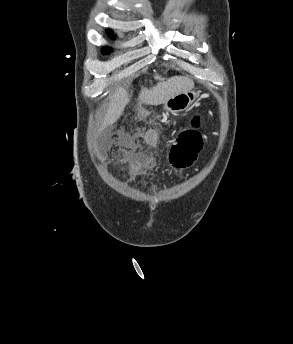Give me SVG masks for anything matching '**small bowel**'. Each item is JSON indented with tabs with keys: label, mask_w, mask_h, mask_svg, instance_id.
Masks as SVG:
<instances>
[{
	"label": "small bowel",
	"mask_w": 293,
	"mask_h": 344,
	"mask_svg": "<svg viewBox=\"0 0 293 344\" xmlns=\"http://www.w3.org/2000/svg\"><path fill=\"white\" fill-rule=\"evenodd\" d=\"M159 136L155 130H146L139 136H131L125 142L124 146L128 149H135L140 145L148 148H154L158 145Z\"/></svg>",
	"instance_id": "1"
}]
</instances>
